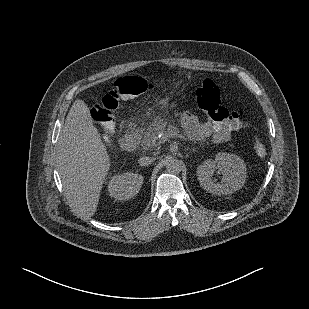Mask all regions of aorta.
<instances>
[{
	"mask_svg": "<svg viewBox=\"0 0 309 309\" xmlns=\"http://www.w3.org/2000/svg\"><path fill=\"white\" fill-rule=\"evenodd\" d=\"M165 166L169 173L176 174L182 171L183 163L175 157H169L165 160Z\"/></svg>",
	"mask_w": 309,
	"mask_h": 309,
	"instance_id": "1",
	"label": "aorta"
}]
</instances>
